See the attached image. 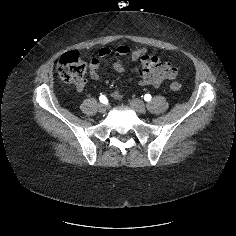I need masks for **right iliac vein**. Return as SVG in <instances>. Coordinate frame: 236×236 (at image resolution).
I'll return each mask as SVG.
<instances>
[{
	"label": "right iliac vein",
	"mask_w": 236,
	"mask_h": 236,
	"mask_svg": "<svg viewBox=\"0 0 236 236\" xmlns=\"http://www.w3.org/2000/svg\"><path fill=\"white\" fill-rule=\"evenodd\" d=\"M107 108H108V107H107L106 104H99V105H98V110H99V112H101V113L106 112Z\"/></svg>",
	"instance_id": "right-iliac-vein-1"
}]
</instances>
